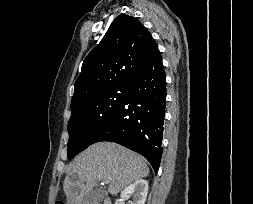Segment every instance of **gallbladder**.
<instances>
[{
  "instance_id": "obj_1",
  "label": "gallbladder",
  "mask_w": 253,
  "mask_h": 204,
  "mask_svg": "<svg viewBox=\"0 0 253 204\" xmlns=\"http://www.w3.org/2000/svg\"><path fill=\"white\" fill-rule=\"evenodd\" d=\"M103 198H104V191L101 189H96L86 194L84 197V201L89 202L101 201Z\"/></svg>"
}]
</instances>
